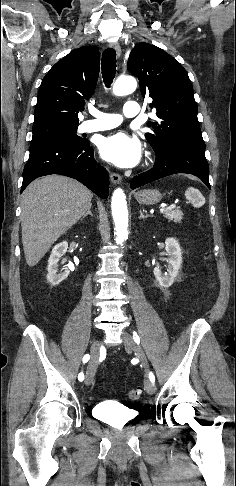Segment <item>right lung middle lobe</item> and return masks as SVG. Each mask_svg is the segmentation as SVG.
Returning <instances> with one entry per match:
<instances>
[{"label": "right lung middle lobe", "instance_id": "right-lung-middle-lobe-1", "mask_svg": "<svg viewBox=\"0 0 236 486\" xmlns=\"http://www.w3.org/2000/svg\"><path fill=\"white\" fill-rule=\"evenodd\" d=\"M79 124L47 123L33 126L32 140L55 139L68 143L84 141L76 135Z\"/></svg>", "mask_w": 236, "mask_h": 486}]
</instances>
